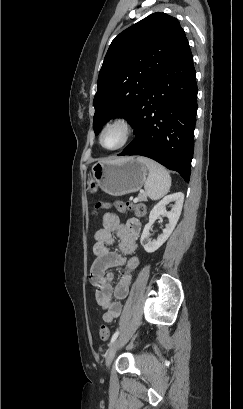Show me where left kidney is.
I'll list each match as a JSON object with an SVG mask.
<instances>
[{"mask_svg": "<svg viewBox=\"0 0 243 409\" xmlns=\"http://www.w3.org/2000/svg\"><path fill=\"white\" fill-rule=\"evenodd\" d=\"M183 201L184 194L182 192L170 194L168 196H165L151 210L149 215V222L145 225L140 239V243L144 247L146 252H155L169 238L180 217ZM170 202L175 203L170 211H166V205ZM160 216L167 217L169 223L165 226L162 234H160L156 240H151L149 238L150 229L155 220Z\"/></svg>", "mask_w": 243, "mask_h": 409, "instance_id": "5707ae66", "label": "left kidney"}]
</instances>
